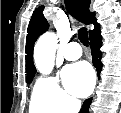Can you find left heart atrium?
I'll return each mask as SVG.
<instances>
[{
  "instance_id": "left-heart-atrium-1",
  "label": "left heart atrium",
  "mask_w": 121,
  "mask_h": 113,
  "mask_svg": "<svg viewBox=\"0 0 121 113\" xmlns=\"http://www.w3.org/2000/svg\"><path fill=\"white\" fill-rule=\"evenodd\" d=\"M62 79L66 89L77 97L87 96L94 86L93 71L83 62L65 67Z\"/></svg>"
}]
</instances>
